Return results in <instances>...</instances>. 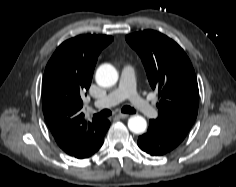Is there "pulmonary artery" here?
Segmentation results:
<instances>
[{"mask_svg": "<svg viewBox=\"0 0 236 187\" xmlns=\"http://www.w3.org/2000/svg\"><path fill=\"white\" fill-rule=\"evenodd\" d=\"M136 72L131 65H125L121 72L119 86L105 97L94 102L97 108H107L128 99L133 107L148 118L157 115L156 108L147 100L142 98L136 91Z\"/></svg>", "mask_w": 236, "mask_h": 187, "instance_id": "e3ab8cb5", "label": "pulmonary artery"}]
</instances>
